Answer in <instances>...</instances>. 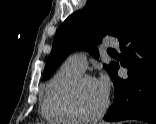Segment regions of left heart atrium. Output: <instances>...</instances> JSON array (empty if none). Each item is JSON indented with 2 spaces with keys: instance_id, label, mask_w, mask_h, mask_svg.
Masks as SVG:
<instances>
[{
  "instance_id": "39dd6f15",
  "label": "left heart atrium",
  "mask_w": 156,
  "mask_h": 124,
  "mask_svg": "<svg viewBox=\"0 0 156 124\" xmlns=\"http://www.w3.org/2000/svg\"><path fill=\"white\" fill-rule=\"evenodd\" d=\"M95 82L101 92L107 97L109 93V80L106 75H101L98 79H95Z\"/></svg>"
}]
</instances>
